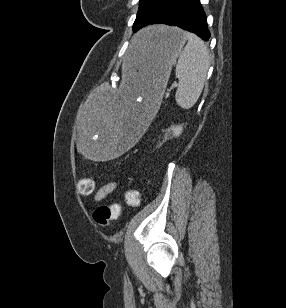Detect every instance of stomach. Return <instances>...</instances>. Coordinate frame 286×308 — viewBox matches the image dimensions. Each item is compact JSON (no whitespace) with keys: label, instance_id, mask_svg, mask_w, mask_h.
<instances>
[{"label":"stomach","instance_id":"1","mask_svg":"<svg viewBox=\"0 0 286 308\" xmlns=\"http://www.w3.org/2000/svg\"><path fill=\"white\" fill-rule=\"evenodd\" d=\"M186 40L183 30L166 25L149 27L132 40L123 55L125 86L94 91L92 100H84L75 125L81 159L108 164L118 153H128L132 144H141L139 132L150 124V107H158Z\"/></svg>","mask_w":286,"mask_h":308}]
</instances>
